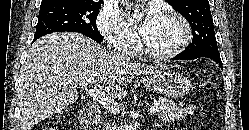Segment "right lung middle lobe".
Returning <instances> with one entry per match:
<instances>
[{
	"label": "right lung middle lobe",
	"instance_id": "1",
	"mask_svg": "<svg viewBox=\"0 0 249 130\" xmlns=\"http://www.w3.org/2000/svg\"><path fill=\"white\" fill-rule=\"evenodd\" d=\"M101 3L89 0H64L40 6L34 38L53 32L72 31L102 42L103 37L96 26Z\"/></svg>",
	"mask_w": 249,
	"mask_h": 130
}]
</instances>
